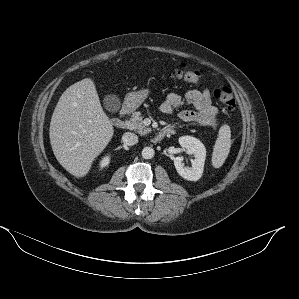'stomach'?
I'll return each instance as SVG.
<instances>
[{"label":"stomach","mask_w":299,"mask_h":299,"mask_svg":"<svg viewBox=\"0 0 299 299\" xmlns=\"http://www.w3.org/2000/svg\"><path fill=\"white\" fill-rule=\"evenodd\" d=\"M150 91L149 89H143L136 92H131L127 95L125 107L128 110L137 109L148 97Z\"/></svg>","instance_id":"0dacf381"}]
</instances>
